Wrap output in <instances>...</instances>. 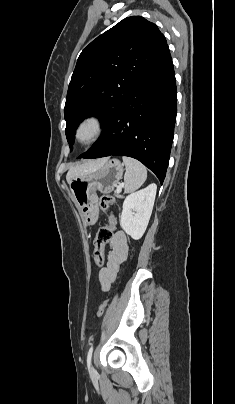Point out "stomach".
Segmentation results:
<instances>
[{"label":"stomach","mask_w":235,"mask_h":404,"mask_svg":"<svg viewBox=\"0 0 235 404\" xmlns=\"http://www.w3.org/2000/svg\"><path fill=\"white\" fill-rule=\"evenodd\" d=\"M123 171V164L118 159H107L97 170L70 181L74 202L86 226L94 225L98 219L97 191L111 193L122 178Z\"/></svg>","instance_id":"stomach-1"}]
</instances>
